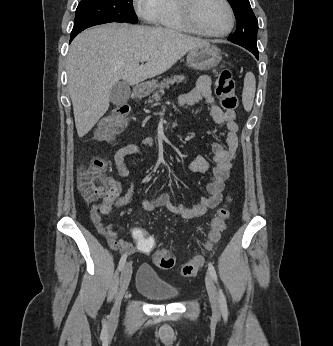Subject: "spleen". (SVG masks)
Instances as JSON below:
<instances>
[{
	"mask_svg": "<svg viewBox=\"0 0 333 346\" xmlns=\"http://www.w3.org/2000/svg\"><path fill=\"white\" fill-rule=\"evenodd\" d=\"M256 91V80L253 73L248 72L244 78V88L242 93V102L244 109L250 111L253 106V101Z\"/></svg>",
	"mask_w": 333,
	"mask_h": 346,
	"instance_id": "3e777b00",
	"label": "spleen"
}]
</instances>
